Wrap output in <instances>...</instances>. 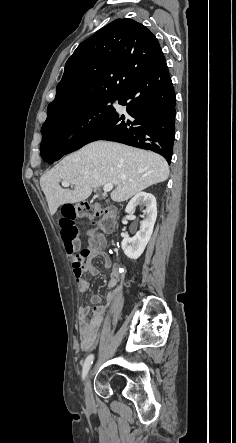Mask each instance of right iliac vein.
<instances>
[{"instance_id":"right-iliac-vein-1","label":"right iliac vein","mask_w":236,"mask_h":443,"mask_svg":"<svg viewBox=\"0 0 236 443\" xmlns=\"http://www.w3.org/2000/svg\"><path fill=\"white\" fill-rule=\"evenodd\" d=\"M91 376H92V371L89 373V375L87 376V379L85 381V386H84V391L86 394V397L89 398L91 395Z\"/></svg>"}]
</instances>
